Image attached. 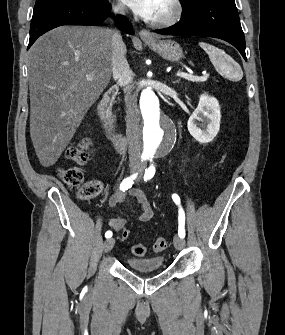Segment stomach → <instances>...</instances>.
<instances>
[{
	"instance_id": "stomach-1",
	"label": "stomach",
	"mask_w": 285,
	"mask_h": 335,
	"mask_svg": "<svg viewBox=\"0 0 285 335\" xmlns=\"http://www.w3.org/2000/svg\"><path fill=\"white\" fill-rule=\"evenodd\" d=\"M145 44L168 62H179L183 58V50L174 40H153Z\"/></svg>"
}]
</instances>
